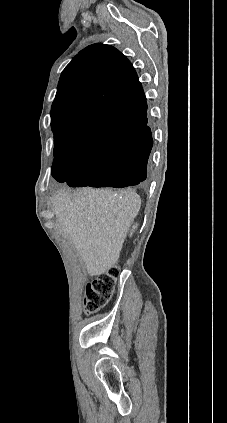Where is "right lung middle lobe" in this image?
Segmentation results:
<instances>
[{
    "label": "right lung middle lobe",
    "instance_id": "dd1d6c3e",
    "mask_svg": "<svg viewBox=\"0 0 227 423\" xmlns=\"http://www.w3.org/2000/svg\"><path fill=\"white\" fill-rule=\"evenodd\" d=\"M87 155L88 154L68 149L62 145H54V161H67L71 167L70 174H72L77 169V167L82 163Z\"/></svg>",
    "mask_w": 227,
    "mask_h": 423
}]
</instances>
